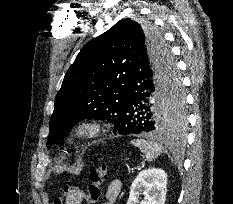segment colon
I'll return each mask as SVG.
<instances>
[{"mask_svg": "<svg viewBox=\"0 0 233 204\" xmlns=\"http://www.w3.org/2000/svg\"><path fill=\"white\" fill-rule=\"evenodd\" d=\"M107 177V166L99 165L89 173L88 191L75 187L71 184L64 186V192L58 197L54 204H83L87 199L96 201L101 194V186Z\"/></svg>", "mask_w": 233, "mask_h": 204, "instance_id": "colon-1", "label": "colon"}]
</instances>
